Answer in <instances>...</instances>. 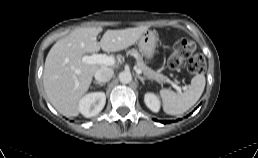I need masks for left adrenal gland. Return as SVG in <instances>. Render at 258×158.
I'll use <instances>...</instances> for the list:
<instances>
[{
  "mask_svg": "<svg viewBox=\"0 0 258 158\" xmlns=\"http://www.w3.org/2000/svg\"><path fill=\"white\" fill-rule=\"evenodd\" d=\"M136 77H137L138 79H140V81H141L143 84L145 83V80H146L145 77H142V76H140L139 74H137Z\"/></svg>",
  "mask_w": 258,
  "mask_h": 158,
  "instance_id": "left-adrenal-gland-1",
  "label": "left adrenal gland"
}]
</instances>
